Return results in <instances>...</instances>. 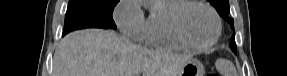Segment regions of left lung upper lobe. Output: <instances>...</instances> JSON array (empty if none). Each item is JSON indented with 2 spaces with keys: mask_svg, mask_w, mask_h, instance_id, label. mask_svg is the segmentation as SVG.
Wrapping results in <instances>:
<instances>
[{
  "mask_svg": "<svg viewBox=\"0 0 287 76\" xmlns=\"http://www.w3.org/2000/svg\"><path fill=\"white\" fill-rule=\"evenodd\" d=\"M218 11V13L229 23L230 27L234 30L233 19L230 18L229 1L228 0H208ZM230 48L236 52L235 36L231 37Z\"/></svg>",
  "mask_w": 287,
  "mask_h": 76,
  "instance_id": "5c2ea615",
  "label": "left lung upper lobe"
}]
</instances>
